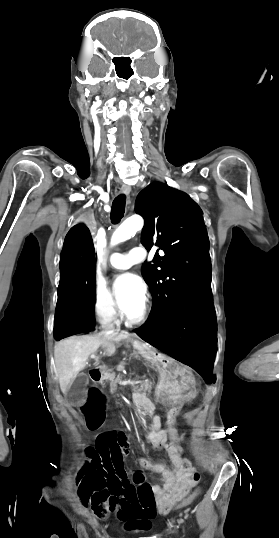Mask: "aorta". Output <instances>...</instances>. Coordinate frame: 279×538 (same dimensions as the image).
I'll return each mask as SVG.
<instances>
[{"mask_svg":"<svg viewBox=\"0 0 279 538\" xmlns=\"http://www.w3.org/2000/svg\"><path fill=\"white\" fill-rule=\"evenodd\" d=\"M143 224V219L137 215L126 219L113 233L111 245H116L130 239L137 231L142 229Z\"/></svg>","mask_w":279,"mask_h":538,"instance_id":"762f6f07","label":"aorta"}]
</instances>
